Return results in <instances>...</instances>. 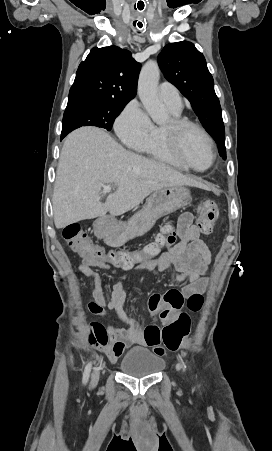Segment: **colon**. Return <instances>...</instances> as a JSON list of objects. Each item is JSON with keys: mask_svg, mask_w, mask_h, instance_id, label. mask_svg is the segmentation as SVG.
<instances>
[{"mask_svg": "<svg viewBox=\"0 0 272 451\" xmlns=\"http://www.w3.org/2000/svg\"><path fill=\"white\" fill-rule=\"evenodd\" d=\"M203 209L204 214L199 217L197 227L204 234H211L218 216L216 204L212 200L207 199L203 204ZM62 238L69 247L78 251L79 256H92L94 254L101 258L111 257L114 267L132 266L142 258V254L126 251L111 252L110 249H105L104 247H95L92 249V241H87V234L75 222H71L64 227ZM159 248L160 243L158 241H152L150 246L145 249L146 256H156ZM93 264V259L85 258L82 260L79 268L84 270L86 266L91 267ZM186 303L189 313H202L206 301L203 298H188ZM189 323V316L186 313H181L176 319L167 322L162 327L155 325L148 326L146 328L148 334L145 337L146 348H155L158 355L164 356L168 353L176 352L181 344L183 346H193L195 344L193 339H183L189 332ZM87 340L91 346L105 347L108 344V331L104 323L92 321L88 326Z\"/></svg>", "mask_w": 272, "mask_h": 451, "instance_id": "colon-1", "label": "colon"}]
</instances>
